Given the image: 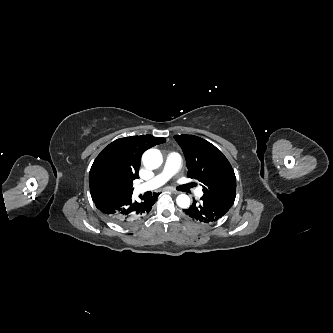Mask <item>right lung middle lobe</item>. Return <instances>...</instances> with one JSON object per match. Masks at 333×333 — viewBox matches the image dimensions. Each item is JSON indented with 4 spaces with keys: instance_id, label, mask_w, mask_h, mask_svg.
<instances>
[{
    "instance_id": "dd1d6c3e",
    "label": "right lung middle lobe",
    "mask_w": 333,
    "mask_h": 333,
    "mask_svg": "<svg viewBox=\"0 0 333 333\" xmlns=\"http://www.w3.org/2000/svg\"><path fill=\"white\" fill-rule=\"evenodd\" d=\"M103 182L109 192H133L131 183L127 182L119 174L113 171H108L103 175Z\"/></svg>"
}]
</instances>
